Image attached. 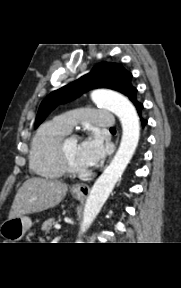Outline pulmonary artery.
<instances>
[{
	"label": "pulmonary artery",
	"mask_w": 181,
	"mask_h": 288,
	"mask_svg": "<svg viewBox=\"0 0 181 288\" xmlns=\"http://www.w3.org/2000/svg\"><path fill=\"white\" fill-rule=\"evenodd\" d=\"M56 121L68 132L78 122H87L92 125L111 128L113 127V114L109 111L94 108H84L68 111L56 118Z\"/></svg>",
	"instance_id": "obj_1"
}]
</instances>
